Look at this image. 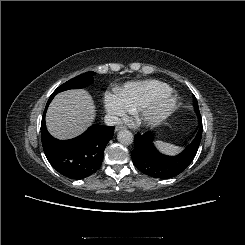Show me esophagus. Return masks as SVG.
<instances>
[{
	"instance_id": "34e87169",
	"label": "esophagus",
	"mask_w": 245,
	"mask_h": 245,
	"mask_svg": "<svg viewBox=\"0 0 245 245\" xmlns=\"http://www.w3.org/2000/svg\"><path fill=\"white\" fill-rule=\"evenodd\" d=\"M124 129H126V126H124V125H118V126L115 127V131L116 132H118L120 130H124Z\"/></svg>"
}]
</instances>
